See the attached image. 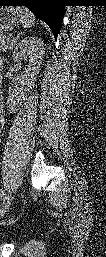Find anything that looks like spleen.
<instances>
[{
    "instance_id": "3e777b00",
    "label": "spleen",
    "mask_w": 106,
    "mask_h": 257,
    "mask_svg": "<svg viewBox=\"0 0 106 257\" xmlns=\"http://www.w3.org/2000/svg\"><path fill=\"white\" fill-rule=\"evenodd\" d=\"M20 20L24 28H31L34 25L35 18L27 8H24L22 9Z\"/></svg>"
}]
</instances>
